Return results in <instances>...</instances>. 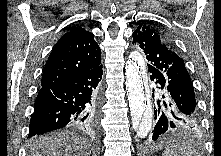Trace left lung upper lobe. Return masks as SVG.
I'll return each instance as SVG.
<instances>
[{
  "label": "left lung upper lobe",
  "mask_w": 221,
  "mask_h": 156,
  "mask_svg": "<svg viewBox=\"0 0 221 156\" xmlns=\"http://www.w3.org/2000/svg\"><path fill=\"white\" fill-rule=\"evenodd\" d=\"M133 43H138L148 60V69H157L167 76L169 93L183 111L199 118L190 76L168 37L150 23L141 24L133 32Z\"/></svg>",
  "instance_id": "1"
}]
</instances>
